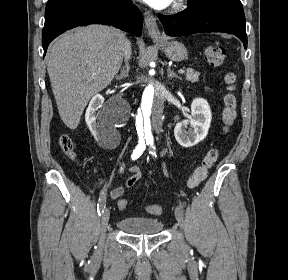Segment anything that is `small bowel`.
<instances>
[{
  "label": "small bowel",
  "instance_id": "c3829d8e",
  "mask_svg": "<svg viewBox=\"0 0 288 280\" xmlns=\"http://www.w3.org/2000/svg\"><path fill=\"white\" fill-rule=\"evenodd\" d=\"M128 169L131 172V175L121 181L110 193L111 199L116 200L118 204L124 199L123 195L125 190L134 186L141 179V171L137 165L129 164ZM164 173L167 174L166 167H164ZM119 209L125 210L121 207H119Z\"/></svg>",
  "mask_w": 288,
  "mask_h": 280
}]
</instances>
